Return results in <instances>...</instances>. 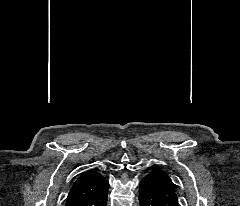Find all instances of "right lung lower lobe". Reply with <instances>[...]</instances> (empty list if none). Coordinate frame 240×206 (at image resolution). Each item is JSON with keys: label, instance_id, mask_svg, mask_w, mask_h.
<instances>
[{"label": "right lung lower lobe", "instance_id": "right-lung-lower-lobe-1", "mask_svg": "<svg viewBox=\"0 0 240 206\" xmlns=\"http://www.w3.org/2000/svg\"><path fill=\"white\" fill-rule=\"evenodd\" d=\"M108 185L96 195L83 200L75 206H107Z\"/></svg>", "mask_w": 240, "mask_h": 206}]
</instances>
